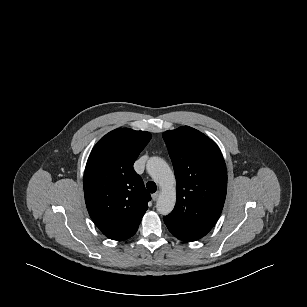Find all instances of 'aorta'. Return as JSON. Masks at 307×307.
Returning a JSON list of instances; mask_svg holds the SVG:
<instances>
[{
  "instance_id": "aorta-1",
  "label": "aorta",
  "mask_w": 307,
  "mask_h": 307,
  "mask_svg": "<svg viewBox=\"0 0 307 307\" xmlns=\"http://www.w3.org/2000/svg\"><path fill=\"white\" fill-rule=\"evenodd\" d=\"M146 170L161 188L156 203L157 211L162 215H168L172 212L176 202L174 173L165 160L155 156L147 161Z\"/></svg>"
}]
</instances>
